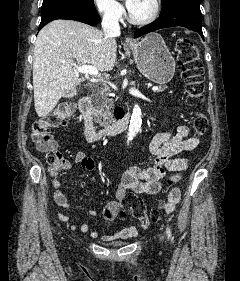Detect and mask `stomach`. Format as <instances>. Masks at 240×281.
I'll return each mask as SVG.
<instances>
[{
    "mask_svg": "<svg viewBox=\"0 0 240 281\" xmlns=\"http://www.w3.org/2000/svg\"><path fill=\"white\" fill-rule=\"evenodd\" d=\"M139 71L149 80L168 83L175 73V60L163 38L156 33L144 37L140 42L128 46Z\"/></svg>",
    "mask_w": 240,
    "mask_h": 281,
    "instance_id": "obj_1",
    "label": "stomach"
}]
</instances>
